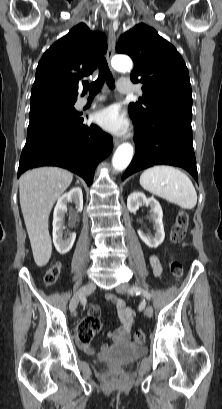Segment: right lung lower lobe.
<instances>
[{
    "label": "right lung lower lobe",
    "instance_id": "98d812e1",
    "mask_svg": "<svg viewBox=\"0 0 222 409\" xmlns=\"http://www.w3.org/2000/svg\"><path fill=\"white\" fill-rule=\"evenodd\" d=\"M80 115L53 112L29 124L18 177L31 168L59 166L83 177L90 186L97 164L111 153L113 142L97 125H84Z\"/></svg>",
    "mask_w": 222,
    "mask_h": 409
}]
</instances>
